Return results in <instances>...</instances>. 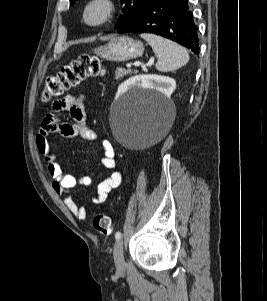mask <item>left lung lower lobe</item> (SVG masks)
Instances as JSON below:
<instances>
[{
  "label": "left lung lower lobe",
  "instance_id": "0a47b994",
  "mask_svg": "<svg viewBox=\"0 0 267 301\" xmlns=\"http://www.w3.org/2000/svg\"><path fill=\"white\" fill-rule=\"evenodd\" d=\"M118 33H150L173 40L199 54V38L188 0H149Z\"/></svg>",
  "mask_w": 267,
  "mask_h": 301
}]
</instances>
